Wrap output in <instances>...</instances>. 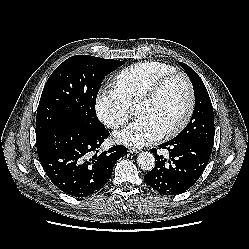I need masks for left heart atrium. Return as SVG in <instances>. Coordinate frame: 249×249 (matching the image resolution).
<instances>
[{
	"label": "left heart atrium",
	"instance_id": "obj_1",
	"mask_svg": "<svg viewBox=\"0 0 249 249\" xmlns=\"http://www.w3.org/2000/svg\"><path fill=\"white\" fill-rule=\"evenodd\" d=\"M164 135L161 127L150 117L141 116L124 130L116 133L117 142L142 147L159 140Z\"/></svg>",
	"mask_w": 249,
	"mask_h": 249
}]
</instances>
